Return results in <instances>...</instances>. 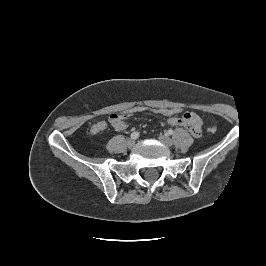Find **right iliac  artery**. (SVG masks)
Instances as JSON below:
<instances>
[{
  "label": "right iliac artery",
  "mask_w": 266,
  "mask_h": 266,
  "mask_svg": "<svg viewBox=\"0 0 266 266\" xmlns=\"http://www.w3.org/2000/svg\"><path fill=\"white\" fill-rule=\"evenodd\" d=\"M139 137V132L135 131L131 134V138L137 139Z\"/></svg>",
  "instance_id": "obj_1"
}]
</instances>
